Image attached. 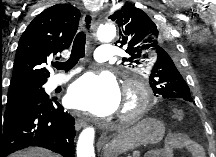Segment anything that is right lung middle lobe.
<instances>
[{
    "label": "right lung middle lobe",
    "mask_w": 216,
    "mask_h": 157,
    "mask_svg": "<svg viewBox=\"0 0 216 157\" xmlns=\"http://www.w3.org/2000/svg\"><path fill=\"white\" fill-rule=\"evenodd\" d=\"M49 97L45 93L42 85L26 87L15 91L8 92L7 104L5 110H10L21 104L30 102H42L48 100ZM2 106L0 105V113Z\"/></svg>",
    "instance_id": "dd1d6c3e"
}]
</instances>
